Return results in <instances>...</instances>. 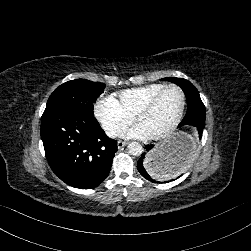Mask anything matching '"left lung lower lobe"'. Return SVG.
<instances>
[{
    "label": "left lung lower lobe",
    "instance_id": "0a47b994",
    "mask_svg": "<svg viewBox=\"0 0 251 251\" xmlns=\"http://www.w3.org/2000/svg\"><path fill=\"white\" fill-rule=\"evenodd\" d=\"M179 128L184 133L177 148L171 154L157 156L151 152L154 145L145 146V151L137 162V169L145 179L152 183L173 181V178L181 174L191 164L205 128L204 105L189 104L186 116Z\"/></svg>",
    "mask_w": 251,
    "mask_h": 251
}]
</instances>
